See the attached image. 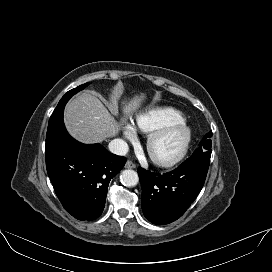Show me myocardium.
Segmentation results:
<instances>
[{
	"instance_id": "1",
	"label": "myocardium",
	"mask_w": 272,
	"mask_h": 272,
	"mask_svg": "<svg viewBox=\"0 0 272 272\" xmlns=\"http://www.w3.org/2000/svg\"><path fill=\"white\" fill-rule=\"evenodd\" d=\"M176 132L182 134V141L178 151L169 157L158 156L155 153L156 144L165 136ZM191 141L192 131L188 124L185 121L174 122L163 128L153 131L147 139L146 149L151 160L155 164L168 168L175 166L184 159L189 150Z\"/></svg>"
}]
</instances>
